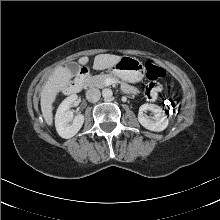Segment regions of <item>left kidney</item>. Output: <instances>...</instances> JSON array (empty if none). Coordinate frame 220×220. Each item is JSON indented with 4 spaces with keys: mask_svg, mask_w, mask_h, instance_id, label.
<instances>
[{
    "mask_svg": "<svg viewBox=\"0 0 220 220\" xmlns=\"http://www.w3.org/2000/svg\"><path fill=\"white\" fill-rule=\"evenodd\" d=\"M149 110L153 113V118L150 119L145 115V112ZM138 121L140 124L150 131L160 132L167 128L168 119L165 111L155 104H143L139 108Z\"/></svg>",
    "mask_w": 220,
    "mask_h": 220,
    "instance_id": "5707ae66",
    "label": "left kidney"
}]
</instances>
